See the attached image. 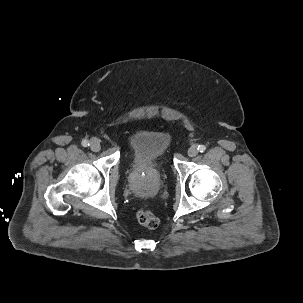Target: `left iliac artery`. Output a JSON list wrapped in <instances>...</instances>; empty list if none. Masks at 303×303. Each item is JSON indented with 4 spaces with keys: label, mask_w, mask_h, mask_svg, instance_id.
Here are the masks:
<instances>
[{
    "label": "left iliac artery",
    "mask_w": 303,
    "mask_h": 303,
    "mask_svg": "<svg viewBox=\"0 0 303 303\" xmlns=\"http://www.w3.org/2000/svg\"><path fill=\"white\" fill-rule=\"evenodd\" d=\"M197 149L199 152H204L206 150V147L204 145H199Z\"/></svg>",
    "instance_id": "obj_1"
}]
</instances>
